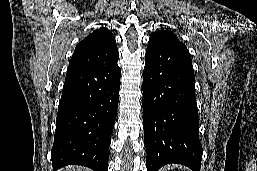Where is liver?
<instances>
[{"label":"liver","instance_id":"liver-1","mask_svg":"<svg viewBox=\"0 0 257 171\" xmlns=\"http://www.w3.org/2000/svg\"><path fill=\"white\" fill-rule=\"evenodd\" d=\"M61 171H87L85 168L82 167H78V166H71V167H67L64 170Z\"/></svg>","mask_w":257,"mask_h":171}]
</instances>
